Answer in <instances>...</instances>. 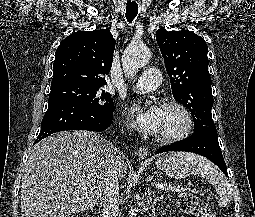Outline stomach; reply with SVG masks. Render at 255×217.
<instances>
[{"mask_svg":"<svg viewBox=\"0 0 255 217\" xmlns=\"http://www.w3.org/2000/svg\"><path fill=\"white\" fill-rule=\"evenodd\" d=\"M156 167L173 178L182 179L189 175L193 169L187 161L171 153L157 159Z\"/></svg>","mask_w":255,"mask_h":217,"instance_id":"0dacf381","label":"stomach"}]
</instances>
